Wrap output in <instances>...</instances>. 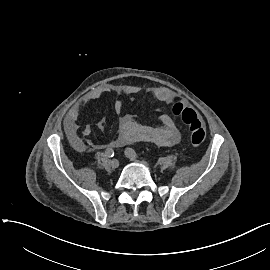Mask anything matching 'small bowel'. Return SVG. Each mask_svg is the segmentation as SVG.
I'll use <instances>...</instances> for the list:
<instances>
[{"label": "small bowel", "mask_w": 270, "mask_h": 270, "mask_svg": "<svg viewBox=\"0 0 270 270\" xmlns=\"http://www.w3.org/2000/svg\"><path fill=\"white\" fill-rule=\"evenodd\" d=\"M138 91L136 86H99L87 93L78 103L68 112L65 120V129L71 138H84L91 134L92 127L89 124L79 125L78 121L82 109L90 102L98 98L114 93L118 97L113 103L114 112L121 114L127 97ZM148 95L155 101L170 104L175 94L172 90L165 87L152 88ZM158 126H147L138 123L131 114H122L119 121V132L117 137L110 143L112 147H123L128 144L149 142L161 147H172L179 143L181 138L180 130L169 115H163L158 119ZM100 130L105 128V118L102 117L97 122Z\"/></svg>", "instance_id": "obj_1"}]
</instances>
